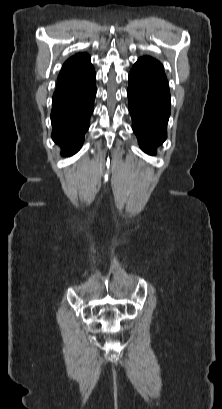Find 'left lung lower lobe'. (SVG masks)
Instances as JSON below:
<instances>
[{
  "label": "left lung lower lobe",
  "instance_id": "0a47b994",
  "mask_svg": "<svg viewBox=\"0 0 222 409\" xmlns=\"http://www.w3.org/2000/svg\"><path fill=\"white\" fill-rule=\"evenodd\" d=\"M127 94L132 129L142 150L152 155L167 137L171 101L167 80L132 69Z\"/></svg>",
  "mask_w": 222,
  "mask_h": 409
}]
</instances>
